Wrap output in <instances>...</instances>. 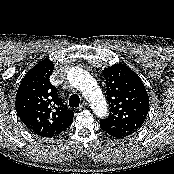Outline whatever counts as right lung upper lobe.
Masks as SVG:
<instances>
[{"label": "right lung upper lobe", "instance_id": "1", "mask_svg": "<svg viewBox=\"0 0 174 174\" xmlns=\"http://www.w3.org/2000/svg\"><path fill=\"white\" fill-rule=\"evenodd\" d=\"M54 70L50 60H42L31 68L17 90L15 108L25 126L41 137L58 135L73 120V111L58 97L56 87L49 82Z\"/></svg>", "mask_w": 174, "mask_h": 174}]
</instances>
